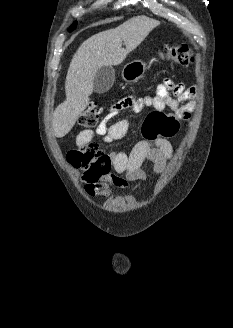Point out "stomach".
I'll list each match as a JSON object with an SVG mask.
<instances>
[{
    "mask_svg": "<svg viewBox=\"0 0 233 328\" xmlns=\"http://www.w3.org/2000/svg\"><path fill=\"white\" fill-rule=\"evenodd\" d=\"M146 71V64L141 60L127 63L122 70V78L126 82H137L143 77Z\"/></svg>",
    "mask_w": 233,
    "mask_h": 328,
    "instance_id": "obj_1",
    "label": "stomach"
}]
</instances>
